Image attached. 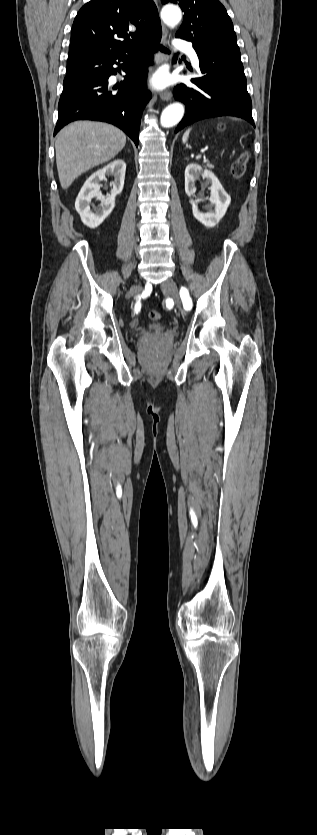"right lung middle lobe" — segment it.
Segmentation results:
<instances>
[{
	"instance_id": "dd1d6c3e",
	"label": "right lung middle lobe",
	"mask_w": 317,
	"mask_h": 835,
	"mask_svg": "<svg viewBox=\"0 0 317 835\" xmlns=\"http://www.w3.org/2000/svg\"><path fill=\"white\" fill-rule=\"evenodd\" d=\"M90 77H92V73H90L88 70H85L81 73H77V74H74V75H71V76H66V78L64 79V84L79 81V80H83V79H87V78H90Z\"/></svg>"
}]
</instances>
